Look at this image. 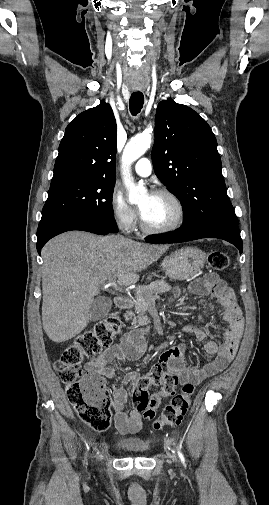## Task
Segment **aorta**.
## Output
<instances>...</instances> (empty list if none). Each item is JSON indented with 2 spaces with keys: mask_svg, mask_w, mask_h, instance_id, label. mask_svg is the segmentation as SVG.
Returning <instances> with one entry per match:
<instances>
[{
  "mask_svg": "<svg viewBox=\"0 0 269 505\" xmlns=\"http://www.w3.org/2000/svg\"><path fill=\"white\" fill-rule=\"evenodd\" d=\"M151 142L152 138L149 133H140L126 144L123 151V181L129 192L128 200L131 204L140 202L146 196L147 190L144 186L134 183L130 174V166L148 150Z\"/></svg>",
  "mask_w": 269,
  "mask_h": 505,
  "instance_id": "obj_1",
  "label": "aorta"
}]
</instances>
